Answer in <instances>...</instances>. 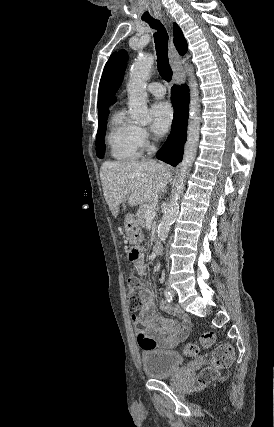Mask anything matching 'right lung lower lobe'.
Returning a JSON list of instances; mask_svg holds the SVG:
<instances>
[{
    "instance_id": "98d812e1",
    "label": "right lung lower lobe",
    "mask_w": 274,
    "mask_h": 427,
    "mask_svg": "<svg viewBox=\"0 0 274 427\" xmlns=\"http://www.w3.org/2000/svg\"><path fill=\"white\" fill-rule=\"evenodd\" d=\"M171 93L175 110L172 132L156 157L176 166L182 160L184 142L187 136L189 88L185 84L181 87L173 86Z\"/></svg>"
}]
</instances>
